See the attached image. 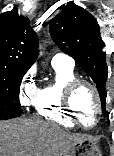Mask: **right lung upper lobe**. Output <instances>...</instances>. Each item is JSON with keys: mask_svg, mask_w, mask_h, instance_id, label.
<instances>
[{"mask_svg": "<svg viewBox=\"0 0 114 156\" xmlns=\"http://www.w3.org/2000/svg\"><path fill=\"white\" fill-rule=\"evenodd\" d=\"M38 55V36L17 8L0 15V67L28 70Z\"/></svg>", "mask_w": 114, "mask_h": 156, "instance_id": "1", "label": "right lung upper lobe"}]
</instances>
